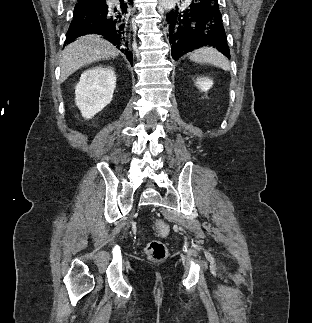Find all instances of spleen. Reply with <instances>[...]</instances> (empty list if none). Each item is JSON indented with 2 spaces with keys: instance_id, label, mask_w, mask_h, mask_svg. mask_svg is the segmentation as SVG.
<instances>
[{
  "instance_id": "spleen-1",
  "label": "spleen",
  "mask_w": 312,
  "mask_h": 323,
  "mask_svg": "<svg viewBox=\"0 0 312 323\" xmlns=\"http://www.w3.org/2000/svg\"><path fill=\"white\" fill-rule=\"evenodd\" d=\"M189 58L197 64H212V66H219L222 70H230L227 58L214 48H200V50L191 52Z\"/></svg>"
}]
</instances>
